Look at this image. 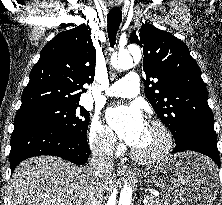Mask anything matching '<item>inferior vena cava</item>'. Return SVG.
<instances>
[{
  "label": "inferior vena cava",
  "instance_id": "obj_1",
  "mask_svg": "<svg viewBox=\"0 0 222 205\" xmlns=\"http://www.w3.org/2000/svg\"><path fill=\"white\" fill-rule=\"evenodd\" d=\"M113 171V164L111 162L110 155H94L91 158L88 172L93 175L95 179H100ZM95 202L91 197L89 205H93Z\"/></svg>",
  "mask_w": 222,
  "mask_h": 205
}]
</instances>
